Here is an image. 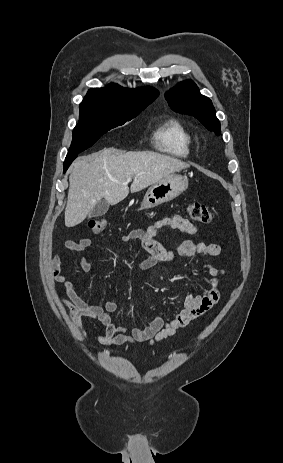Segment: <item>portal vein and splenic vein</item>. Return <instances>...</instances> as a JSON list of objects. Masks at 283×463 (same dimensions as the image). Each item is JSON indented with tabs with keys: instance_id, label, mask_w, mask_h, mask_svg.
<instances>
[{
	"instance_id": "18ae733b",
	"label": "portal vein and splenic vein",
	"mask_w": 283,
	"mask_h": 463,
	"mask_svg": "<svg viewBox=\"0 0 283 463\" xmlns=\"http://www.w3.org/2000/svg\"><path fill=\"white\" fill-rule=\"evenodd\" d=\"M130 181H131V178H129V179L127 180V183H129Z\"/></svg>"
}]
</instances>
